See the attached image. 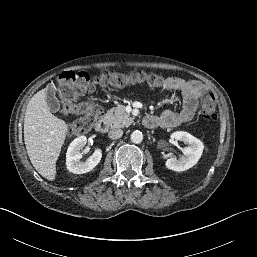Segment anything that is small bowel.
Instances as JSON below:
<instances>
[{
  "mask_svg": "<svg viewBox=\"0 0 257 257\" xmlns=\"http://www.w3.org/2000/svg\"><path fill=\"white\" fill-rule=\"evenodd\" d=\"M161 88L179 91L182 95V107L178 112L166 110L160 116H148L146 119H151L153 123L145 122V124L151 128L156 126L175 128L192 122L196 116L198 100L207 90L199 81L179 77L166 78Z\"/></svg>",
  "mask_w": 257,
  "mask_h": 257,
  "instance_id": "1",
  "label": "small bowel"
}]
</instances>
